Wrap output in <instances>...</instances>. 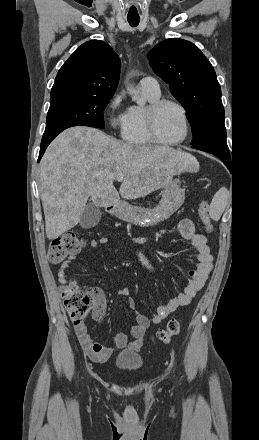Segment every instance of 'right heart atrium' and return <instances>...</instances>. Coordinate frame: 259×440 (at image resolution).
Segmentation results:
<instances>
[{"instance_id":"d8ad5b80","label":"right heart atrium","mask_w":259,"mask_h":440,"mask_svg":"<svg viewBox=\"0 0 259 440\" xmlns=\"http://www.w3.org/2000/svg\"><path fill=\"white\" fill-rule=\"evenodd\" d=\"M124 95L123 93L116 94L110 101L109 109V125L112 129L123 131L127 123V111L121 110Z\"/></svg>"}]
</instances>
